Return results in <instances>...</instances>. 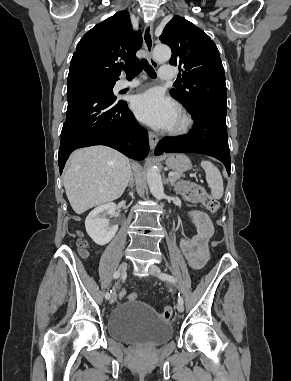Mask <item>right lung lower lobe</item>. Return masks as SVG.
<instances>
[{
    "mask_svg": "<svg viewBox=\"0 0 291 381\" xmlns=\"http://www.w3.org/2000/svg\"><path fill=\"white\" fill-rule=\"evenodd\" d=\"M67 116L58 154L60 174L72 151L106 145L141 160L149 153L148 132L124 101H115L92 79L69 76Z\"/></svg>",
    "mask_w": 291,
    "mask_h": 381,
    "instance_id": "obj_1",
    "label": "right lung lower lobe"
}]
</instances>
